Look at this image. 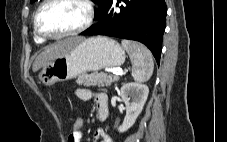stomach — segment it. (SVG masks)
<instances>
[{"label": "stomach", "mask_w": 227, "mask_h": 142, "mask_svg": "<svg viewBox=\"0 0 227 142\" xmlns=\"http://www.w3.org/2000/svg\"><path fill=\"white\" fill-rule=\"evenodd\" d=\"M125 57L124 49L115 40L103 36L91 37L44 66L39 79L44 85L50 86L82 73L120 66Z\"/></svg>", "instance_id": "stomach-1"}]
</instances>
